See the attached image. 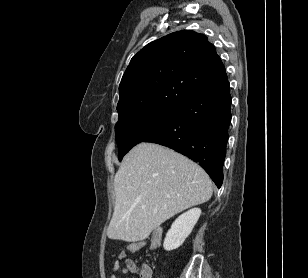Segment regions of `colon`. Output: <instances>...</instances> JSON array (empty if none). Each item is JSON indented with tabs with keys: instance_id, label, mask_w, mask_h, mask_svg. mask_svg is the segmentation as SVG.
<instances>
[{
	"instance_id": "1",
	"label": "colon",
	"mask_w": 308,
	"mask_h": 278,
	"mask_svg": "<svg viewBox=\"0 0 308 278\" xmlns=\"http://www.w3.org/2000/svg\"><path fill=\"white\" fill-rule=\"evenodd\" d=\"M165 230H161L160 227H157L155 232H154V235H155V238L152 237V247H161V240L160 237H165ZM155 239V240H154ZM143 245V242L141 240H136L135 242H131V243H127L125 245V248L127 250V253H138V250L141 249V246ZM132 268H134L133 265H131Z\"/></svg>"
}]
</instances>
